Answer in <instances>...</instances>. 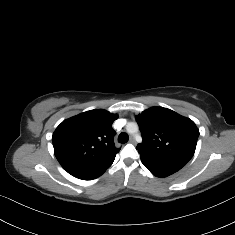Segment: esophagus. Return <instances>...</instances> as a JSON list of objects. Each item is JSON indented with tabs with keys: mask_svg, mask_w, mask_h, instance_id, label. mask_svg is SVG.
I'll return each instance as SVG.
<instances>
[{
	"mask_svg": "<svg viewBox=\"0 0 235 235\" xmlns=\"http://www.w3.org/2000/svg\"><path fill=\"white\" fill-rule=\"evenodd\" d=\"M129 142H130V143H135V138H134V136H130Z\"/></svg>",
	"mask_w": 235,
	"mask_h": 235,
	"instance_id": "1",
	"label": "esophagus"
}]
</instances>
